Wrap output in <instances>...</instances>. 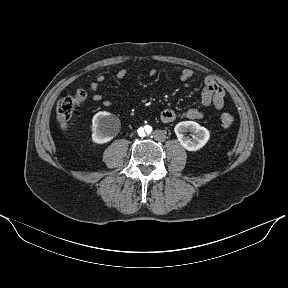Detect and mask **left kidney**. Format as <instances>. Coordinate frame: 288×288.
I'll use <instances>...</instances> for the list:
<instances>
[{
  "label": "left kidney",
  "instance_id": "obj_1",
  "mask_svg": "<svg viewBox=\"0 0 288 288\" xmlns=\"http://www.w3.org/2000/svg\"><path fill=\"white\" fill-rule=\"evenodd\" d=\"M180 144L188 151H197L201 149L209 140V131L194 121L179 122L174 128ZM191 132L192 138L185 136V133Z\"/></svg>",
  "mask_w": 288,
  "mask_h": 288
}]
</instances>
